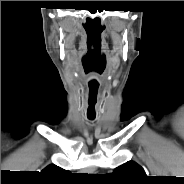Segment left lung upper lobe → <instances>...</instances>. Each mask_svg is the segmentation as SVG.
<instances>
[{"instance_id": "left-lung-upper-lobe-1", "label": "left lung upper lobe", "mask_w": 184, "mask_h": 184, "mask_svg": "<svg viewBox=\"0 0 184 184\" xmlns=\"http://www.w3.org/2000/svg\"><path fill=\"white\" fill-rule=\"evenodd\" d=\"M112 176L120 184H140L146 179L143 168L133 161L115 168Z\"/></svg>"}]
</instances>
